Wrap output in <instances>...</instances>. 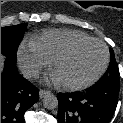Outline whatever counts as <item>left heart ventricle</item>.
Returning <instances> with one entry per match:
<instances>
[{"mask_svg":"<svg viewBox=\"0 0 123 123\" xmlns=\"http://www.w3.org/2000/svg\"><path fill=\"white\" fill-rule=\"evenodd\" d=\"M104 48L98 43H88L61 61L54 74L59 82L81 83L93 77L104 60Z\"/></svg>","mask_w":123,"mask_h":123,"instance_id":"obj_1","label":"left heart ventricle"}]
</instances>
